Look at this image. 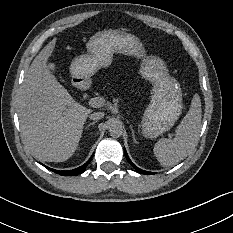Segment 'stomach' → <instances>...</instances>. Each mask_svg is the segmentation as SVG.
<instances>
[{
    "mask_svg": "<svg viewBox=\"0 0 233 233\" xmlns=\"http://www.w3.org/2000/svg\"><path fill=\"white\" fill-rule=\"evenodd\" d=\"M87 53L77 56L70 65V74L76 78V87L85 85V80L101 68H108L115 53L141 60L138 73L152 84L150 103L144 111L141 128L146 138H156L178 120L183 105L179 83L170 77L164 61L155 55H147L141 40L120 29L96 32L86 43Z\"/></svg>",
    "mask_w": 233,
    "mask_h": 233,
    "instance_id": "stomach-1",
    "label": "stomach"
}]
</instances>
